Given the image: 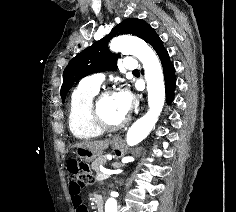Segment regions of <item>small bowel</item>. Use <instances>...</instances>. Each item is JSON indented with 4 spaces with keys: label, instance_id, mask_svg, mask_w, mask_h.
<instances>
[{
    "label": "small bowel",
    "instance_id": "small-bowel-1",
    "mask_svg": "<svg viewBox=\"0 0 236 212\" xmlns=\"http://www.w3.org/2000/svg\"><path fill=\"white\" fill-rule=\"evenodd\" d=\"M65 180H67L69 186L66 197L70 198V202L73 204V212H88V209H84L81 200L82 190H86V185H81L80 179H76V175H65Z\"/></svg>",
    "mask_w": 236,
    "mask_h": 212
}]
</instances>
